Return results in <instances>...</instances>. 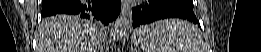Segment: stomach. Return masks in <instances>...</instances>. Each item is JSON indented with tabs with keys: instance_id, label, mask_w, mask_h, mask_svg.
<instances>
[{
	"instance_id": "1",
	"label": "stomach",
	"mask_w": 261,
	"mask_h": 52,
	"mask_svg": "<svg viewBox=\"0 0 261 52\" xmlns=\"http://www.w3.org/2000/svg\"><path fill=\"white\" fill-rule=\"evenodd\" d=\"M132 40L136 45L144 44V37L143 34L141 33V29L137 30Z\"/></svg>"
}]
</instances>
